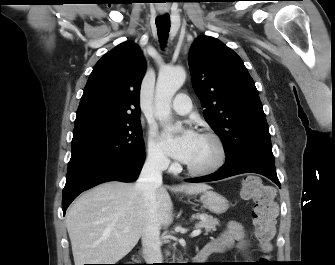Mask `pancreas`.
Listing matches in <instances>:
<instances>
[{
    "label": "pancreas",
    "instance_id": "1",
    "mask_svg": "<svg viewBox=\"0 0 335 265\" xmlns=\"http://www.w3.org/2000/svg\"><path fill=\"white\" fill-rule=\"evenodd\" d=\"M192 218L200 219V222L196 224V228H205L206 233L215 231L216 225H219L217 218H213V216L206 213L196 214Z\"/></svg>",
    "mask_w": 335,
    "mask_h": 265
}]
</instances>
